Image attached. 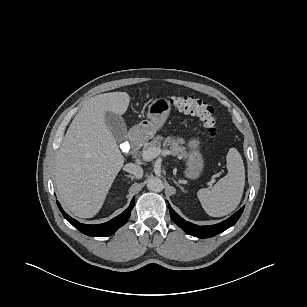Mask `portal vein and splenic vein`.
I'll return each mask as SVG.
<instances>
[{
    "label": "portal vein and splenic vein",
    "mask_w": 307,
    "mask_h": 307,
    "mask_svg": "<svg viewBox=\"0 0 307 307\" xmlns=\"http://www.w3.org/2000/svg\"><path fill=\"white\" fill-rule=\"evenodd\" d=\"M169 154V150L161 151L159 147L149 148L142 153V158L145 161H150L154 158H156L160 154Z\"/></svg>",
    "instance_id": "1"
}]
</instances>
